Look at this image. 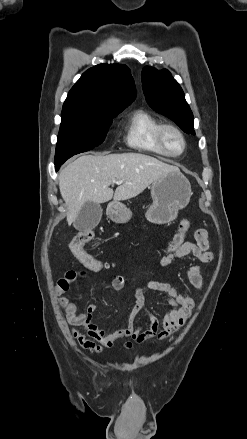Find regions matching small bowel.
Wrapping results in <instances>:
<instances>
[{
  "instance_id": "1",
  "label": "small bowel",
  "mask_w": 247,
  "mask_h": 439,
  "mask_svg": "<svg viewBox=\"0 0 247 439\" xmlns=\"http://www.w3.org/2000/svg\"><path fill=\"white\" fill-rule=\"evenodd\" d=\"M174 236H172V239ZM195 241V243L185 241L176 251L163 256L160 260V266L167 267L175 260L190 255L202 263L211 262L213 254L209 250L207 231L198 229L195 232ZM77 276V273L73 270L66 272L57 282L55 291L59 296V303L66 313L67 322L73 327H81L89 338H86L84 334L75 328L73 329V336L80 346L96 353L101 352L103 348L113 347L119 339L124 337L131 338L137 344H143L152 338L167 339L184 326L196 306L193 298L179 294L170 284L148 280L144 286L134 290L135 302L129 314L127 326L113 333H107L93 321L97 310L95 305H88L83 312H78L76 304L65 296ZM187 278L196 289L202 290L203 279L199 266H191L188 269ZM124 286L125 280L122 276L117 275L111 281V289L115 292L122 290ZM147 292H158L164 294L167 298V311L162 320V329L160 328L159 319L146 309L145 294ZM141 312H144L148 317L149 327L147 329H144V325L135 326V318ZM124 346L130 349L133 343L128 341L124 343Z\"/></svg>"
}]
</instances>
